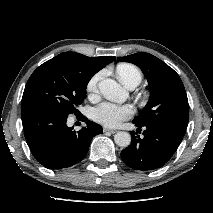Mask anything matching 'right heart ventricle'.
Returning a JSON list of instances; mask_svg holds the SVG:
<instances>
[{"instance_id": "e07e8e85", "label": "right heart ventricle", "mask_w": 213, "mask_h": 213, "mask_svg": "<svg viewBox=\"0 0 213 213\" xmlns=\"http://www.w3.org/2000/svg\"><path fill=\"white\" fill-rule=\"evenodd\" d=\"M119 80L127 87L132 84L136 86L141 82L142 74L140 70L129 63H121L116 68Z\"/></svg>"}]
</instances>
